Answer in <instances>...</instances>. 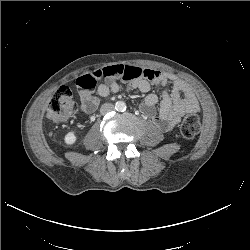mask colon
<instances>
[{
  "instance_id": "obj_1",
  "label": "colon",
  "mask_w": 250,
  "mask_h": 250,
  "mask_svg": "<svg viewBox=\"0 0 250 250\" xmlns=\"http://www.w3.org/2000/svg\"><path fill=\"white\" fill-rule=\"evenodd\" d=\"M76 110L77 104L73 99V89L70 86H62L50 100L46 115L52 122H61L72 116ZM199 130L200 120L197 115L189 114L183 118L180 133L184 138H194Z\"/></svg>"
}]
</instances>
